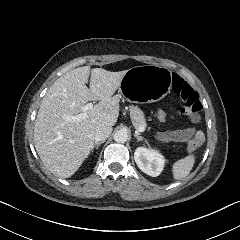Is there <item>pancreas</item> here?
Returning <instances> with one entry per match:
<instances>
[{
	"label": "pancreas",
	"instance_id": "cf45deb5",
	"mask_svg": "<svg viewBox=\"0 0 240 240\" xmlns=\"http://www.w3.org/2000/svg\"><path fill=\"white\" fill-rule=\"evenodd\" d=\"M130 118L133 126L138 129L140 126L146 125V120L143 111L137 106H129Z\"/></svg>",
	"mask_w": 240,
	"mask_h": 240
}]
</instances>
